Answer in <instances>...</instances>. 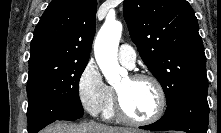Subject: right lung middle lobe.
Returning <instances> with one entry per match:
<instances>
[{
  "label": "right lung middle lobe",
  "instance_id": "obj_1",
  "mask_svg": "<svg viewBox=\"0 0 221 133\" xmlns=\"http://www.w3.org/2000/svg\"><path fill=\"white\" fill-rule=\"evenodd\" d=\"M87 63H70L47 68L29 75L27 96L29 102L63 107H82L79 98V80Z\"/></svg>",
  "mask_w": 221,
  "mask_h": 133
}]
</instances>
